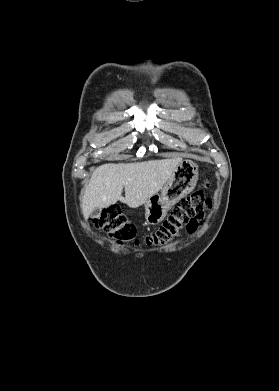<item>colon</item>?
Wrapping results in <instances>:
<instances>
[{
	"instance_id": "colon-1",
	"label": "colon",
	"mask_w": 279,
	"mask_h": 391,
	"mask_svg": "<svg viewBox=\"0 0 279 391\" xmlns=\"http://www.w3.org/2000/svg\"><path fill=\"white\" fill-rule=\"evenodd\" d=\"M208 187V183H203ZM211 207L204 191H197L179 201L171 210L161 227L141 239L136 236V228L117 206L102 212L95 220V226L113 237L118 243L142 242L146 245H165L173 241L183 229L194 232L206 211Z\"/></svg>"
}]
</instances>
